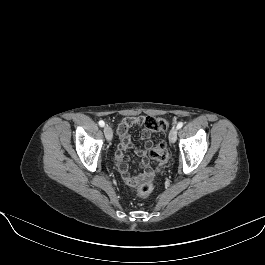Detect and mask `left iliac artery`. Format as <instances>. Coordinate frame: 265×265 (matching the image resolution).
I'll return each instance as SVG.
<instances>
[{"label":"left iliac artery","mask_w":265,"mask_h":265,"mask_svg":"<svg viewBox=\"0 0 265 265\" xmlns=\"http://www.w3.org/2000/svg\"><path fill=\"white\" fill-rule=\"evenodd\" d=\"M183 124H184L183 122H179V123L177 124L176 128H177V129L182 128Z\"/></svg>","instance_id":"left-iliac-artery-1"}]
</instances>
